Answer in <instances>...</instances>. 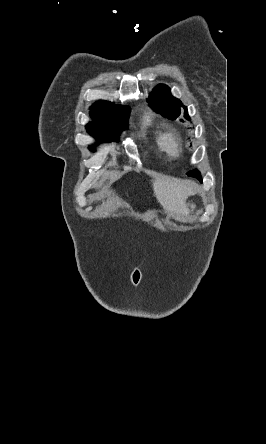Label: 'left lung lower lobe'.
I'll return each mask as SVG.
<instances>
[{"label": "left lung lower lobe", "instance_id": "left-lung-lower-lobe-1", "mask_svg": "<svg viewBox=\"0 0 266 444\" xmlns=\"http://www.w3.org/2000/svg\"><path fill=\"white\" fill-rule=\"evenodd\" d=\"M191 173L194 174L195 177L198 178L200 181H202V179H201V174H200L199 171L194 170V171H192Z\"/></svg>", "mask_w": 266, "mask_h": 444}]
</instances>
